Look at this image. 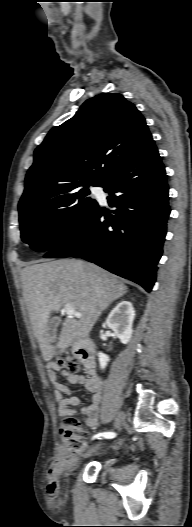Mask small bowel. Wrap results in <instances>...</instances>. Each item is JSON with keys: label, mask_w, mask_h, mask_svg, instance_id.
<instances>
[{"label": "small bowel", "mask_w": 192, "mask_h": 527, "mask_svg": "<svg viewBox=\"0 0 192 527\" xmlns=\"http://www.w3.org/2000/svg\"><path fill=\"white\" fill-rule=\"evenodd\" d=\"M59 368L56 365H50L48 369V377L56 390V399L59 406V414L61 416H70L74 414H81L86 416L85 423L88 427L94 429L99 425V414L100 405L104 395V383L95 374H91L89 377L83 375H74L63 371L62 375L71 384L83 385L89 392L92 393L91 402L80 407L78 410L72 409L74 406L81 404V400L72 395L71 389L58 381ZM63 394L68 395L67 398L63 397ZM123 442H118L113 445V448H120Z\"/></svg>", "instance_id": "c3829d8e"}]
</instances>
